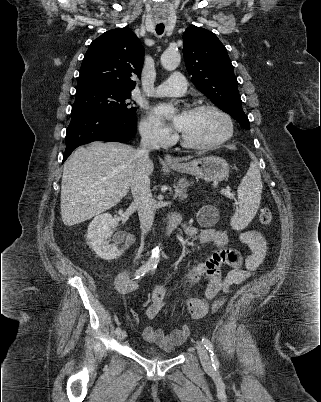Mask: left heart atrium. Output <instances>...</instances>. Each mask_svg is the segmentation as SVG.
<instances>
[{
    "label": "left heart atrium",
    "mask_w": 321,
    "mask_h": 402,
    "mask_svg": "<svg viewBox=\"0 0 321 402\" xmlns=\"http://www.w3.org/2000/svg\"><path fill=\"white\" fill-rule=\"evenodd\" d=\"M152 118L157 122H163L169 117H173V125L177 130H182L187 119L188 112L181 111L177 114L171 104L162 103L151 110Z\"/></svg>",
    "instance_id": "39dd6f15"
}]
</instances>
